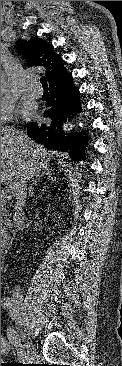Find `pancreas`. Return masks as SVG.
Listing matches in <instances>:
<instances>
[{
	"instance_id": "obj_1",
	"label": "pancreas",
	"mask_w": 122,
	"mask_h": 366,
	"mask_svg": "<svg viewBox=\"0 0 122 366\" xmlns=\"http://www.w3.org/2000/svg\"><path fill=\"white\" fill-rule=\"evenodd\" d=\"M7 200L1 197V207H3L6 204ZM7 231V224L6 221L3 220L1 216V234L5 233Z\"/></svg>"
}]
</instances>
